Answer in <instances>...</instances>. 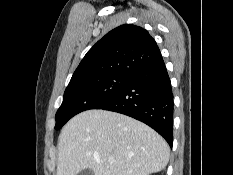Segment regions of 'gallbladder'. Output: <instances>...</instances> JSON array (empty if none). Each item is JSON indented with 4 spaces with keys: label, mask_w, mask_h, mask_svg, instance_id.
I'll list each match as a JSON object with an SVG mask.
<instances>
[{
    "label": "gallbladder",
    "mask_w": 233,
    "mask_h": 175,
    "mask_svg": "<svg viewBox=\"0 0 233 175\" xmlns=\"http://www.w3.org/2000/svg\"><path fill=\"white\" fill-rule=\"evenodd\" d=\"M78 175H94L93 171L91 169H84L81 172H79Z\"/></svg>",
    "instance_id": "bac80fb5"
}]
</instances>
